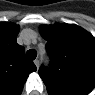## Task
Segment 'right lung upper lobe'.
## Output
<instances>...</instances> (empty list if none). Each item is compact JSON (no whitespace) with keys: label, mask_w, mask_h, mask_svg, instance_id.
Instances as JSON below:
<instances>
[{"label":"right lung upper lobe","mask_w":95,"mask_h":95,"mask_svg":"<svg viewBox=\"0 0 95 95\" xmlns=\"http://www.w3.org/2000/svg\"><path fill=\"white\" fill-rule=\"evenodd\" d=\"M18 32L16 24L0 23V95H20L28 75L36 71L16 42Z\"/></svg>","instance_id":"obj_1"}]
</instances>
